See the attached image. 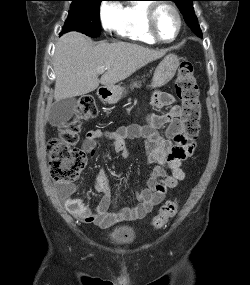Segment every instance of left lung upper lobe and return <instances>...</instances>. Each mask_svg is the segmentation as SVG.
Here are the masks:
<instances>
[{
	"instance_id": "1",
	"label": "left lung upper lobe",
	"mask_w": 250,
	"mask_h": 285,
	"mask_svg": "<svg viewBox=\"0 0 250 285\" xmlns=\"http://www.w3.org/2000/svg\"><path fill=\"white\" fill-rule=\"evenodd\" d=\"M184 16V20L188 27L198 36L202 38V32L198 25L192 2L195 0H172Z\"/></svg>"
}]
</instances>
